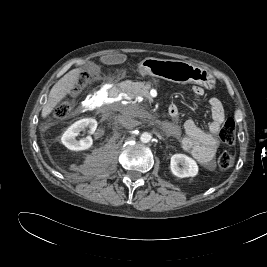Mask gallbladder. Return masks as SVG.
I'll return each instance as SVG.
<instances>
[{"label": "gallbladder", "instance_id": "gallbladder-1", "mask_svg": "<svg viewBox=\"0 0 267 267\" xmlns=\"http://www.w3.org/2000/svg\"><path fill=\"white\" fill-rule=\"evenodd\" d=\"M119 60H124V57H123L122 55H118V56H115V57H104V58L102 59V61H103L104 63H111V62L119 61ZM94 67H95V65H94L93 63H88V64L86 65V68H87L89 71H91V72L94 71Z\"/></svg>", "mask_w": 267, "mask_h": 267}]
</instances>
